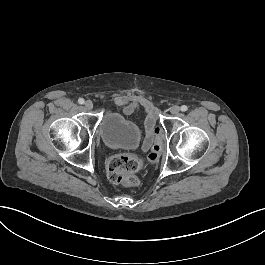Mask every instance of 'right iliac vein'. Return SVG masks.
I'll return each mask as SVG.
<instances>
[{
  "instance_id": "obj_1",
  "label": "right iliac vein",
  "mask_w": 265,
  "mask_h": 265,
  "mask_svg": "<svg viewBox=\"0 0 265 265\" xmlns=\"http://www.w3.org/2000/svg\"><path fill=\"white\" fill-rule=\"evenodd\" d=\"M84 106L87 110H91L93 108V103L90 100H88L85 102Z\"/></svg>"
}]
</instances>
